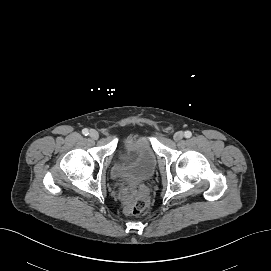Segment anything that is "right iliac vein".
<instances>
[{
    "mask_svg": "<svg viewBox=\"0 0 271 271\" xmlns=\"http://www.w3.org/2000/svg\"><path fill=\"white\" fill-rule=\"evenodd\" d=\"M89 136L92 139L96 140L99 137V133L95 129H92V130H90Z\"/></svg>",
    "mask_w": 271,
    "mask_h": 271,
    "instance_id": "1",
    "label": "right iliac vein"
}]
</instances>
